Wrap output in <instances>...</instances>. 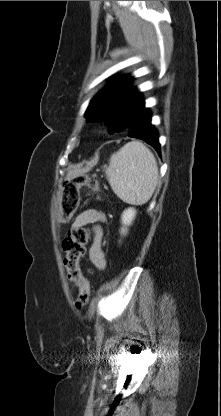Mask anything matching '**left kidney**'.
Wrapping results in <instances>:
<instances>
[{
	"label": "left kidney",
	"mask_w": 221,
	"mask_h": 416,
	"mask_svg": "<svg viewBox=\"0 0 221 416\" xmlns=\"http://www.w3.org/2000/svg\"><path fill=\"white\" fill-rule=\"evenodd\" d=\"M135 216H136L135 208L130 207L123 211L122 216H121V221L123 225V227L121 228V234L125 235L127 233V226L132 224L133 220L135 219Z\"/></svg>",
	"instance_id": "5707ae66"
}]
</instances>
